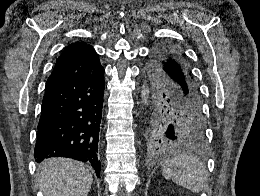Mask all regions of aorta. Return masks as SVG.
<instances>
[{"label": "aorta", "instance_id": "1", "mask_svg": "<svg viewBox=\"0 0 260 196\" xmlns=\"http://www.w3.org/2000/svg\"><path fill=\"white\" fill-rule=\"evenodd\" d=\"M146 94H147L146 83H144L141 89V97L143 103H146Z\"/></svg>", "mask_w": 260, "mask_h": 196}]
</instances>
